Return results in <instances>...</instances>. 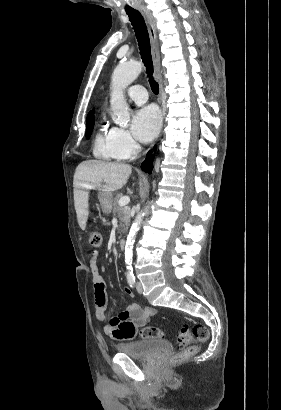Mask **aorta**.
<instances>
[{
  "mask_svg": "<svg viewBox=\"0 0 281 410\" xmlns=\"http://www.w3.org/2000/svg\"><path fill=\"white\" fill-rule=\"evenodd\" d=\"M141 71L142 64L140 62H122L113 71L110 105L113 112L112 118L120 126H126L130 121L129 106L124 99L123 90L138 77ZM144 215L145 209L137 214L125 244V264L130 274L133 272V246Z\"/></svg>",
  "mask_w": 281,
  "mask_h": 410,
  "instance_id": "aorta-1",
  "label": "aorta"
}]
</instances>
